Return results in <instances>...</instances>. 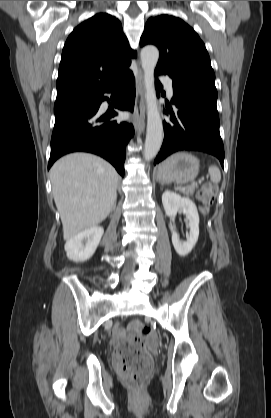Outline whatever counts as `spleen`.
Wrapping results in <instances>:
<instances>
[{
	"instance_id": "spleen-1",
	"label": "spleen",
	"mask_w": 271,
	"mask_h": 418,
	"mask_svg": "<svg viewBox=\"0 0 271 418\" xmlns=\"http://www.w3.org/2000/svg\"><path fill=\"white\" fill-rule=\"evenodd\" d=\"M208 172L210 174L211 181L213 183H219L221 180V172L217 166L211 165L208 168Z\"/></svg>"
}]
</instances>
